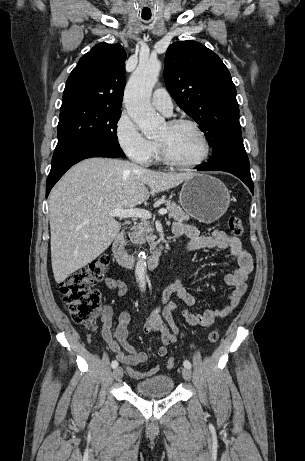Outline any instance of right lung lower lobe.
Returning <instances> with one entry per match:
<instances>
[{
    "mask_svg": "<svg viewBox=\"0 0 305 461\" xmlns=\"http://www.w3.org/2000/svg\"><path fill=\"white\" fill-rule=\"evenodd\" d=\"M90 157L118 158L123 156L103 145L94 143H81L55 148L51 170L46 182V198L51 188L71 166Z\"/></svg>",
    "mask_w": 305,
    "mask_h": 461,
    "instance_id": "right-lung-lower-lobe-1",
    "label": "right lung lower lobe"
}]
</instances>
